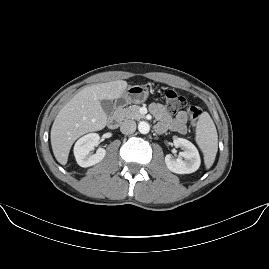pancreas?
Listing matches in <instances>:
<instances>
[{
    "instance_id": "1",
    "label": "pancreas",
    "mask_w": 269,
    "mask_h": 269,
    "mask_svg": "<svg viewBox=\"0 0 269 269\" xmlns=\"http://www.w3.org/2000/svg\"><path fill=\"white\" fill-rule=\"evenodd\" d=\"M115 115L120 121L126 119H141L143 115L140 113L139 106L133 105L128 108H120L115 111Z\"/></svg>"
}]
</instances>
